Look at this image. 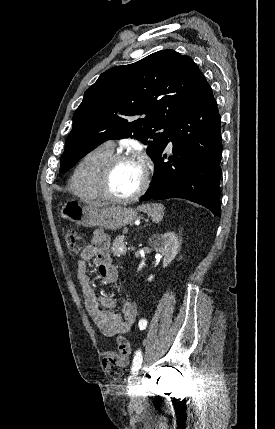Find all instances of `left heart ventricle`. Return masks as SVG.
<instances>
[{
  "instance_id": "left-heart-ventricle-1",
  "label": "left heart ventricle",
  "mask_w": 275,
  "mask_h": 429,
  "mask_svg": "<svg viewBox=\"0 0 275 429\" xmlns=\"http://www.w3.org/2000/svg\"><path fill=\"white\" fill-rule=\"evenodd\" d=\"M143 166L137 160H127L118 163L110 177V191L120 197L133 194L143 179Z\"/></svg>"
}]
</instances>
